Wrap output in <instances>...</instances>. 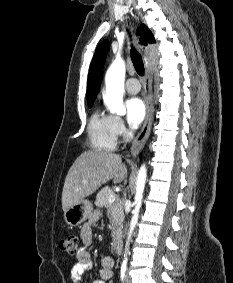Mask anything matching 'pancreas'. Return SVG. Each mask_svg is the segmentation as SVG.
I'll use <instances>...</instances> for the list:
<instances>
[{
	"label": "pancreas",
	"instance_id": "1",
	"mask_svg": "<svg viewBox=\"0 0 233 283\" xmlns=\"http://www.w3.org/2000/svg\"><path fill=\"white\" fill-rule=\"evenodd\" d=\"M110 195H115L109 186L102 188L96 197V205L99 207H106L109 210V214L113 225L115 226L114 234L118 235L122 230L123 221V207L122 203L117 200L115 203H110L108 198Z\"/></svg>",
	"mask_w": 233,
	"mask_h": 283
}]
</instances>
